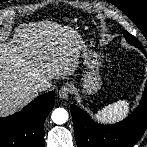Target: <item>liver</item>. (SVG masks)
<instances>
[{
  "label": "liver",
  "mask_w": 147,
  "mask_h": 147,
  "mask_svg": "<svg viewBox=\"0 0 147 147\" xmlns=\"http://www.w3.org/2000/svg\"><path fill=\"white\" fill-rule=\"evenodd\" d=\"M17 32V45H0V112L28 101L38 80L75 72L87 53L73 29L54 22L29 23Z\"/></svg>",
  "instance_id": "1"
}]
</instances>
